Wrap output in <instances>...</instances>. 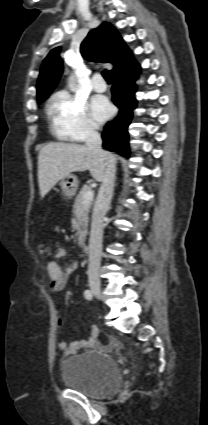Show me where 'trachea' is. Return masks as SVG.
<instances>
[{
    "label": "trachea",
    "mask_w": 208,
    "mask_h": 425,
    "mask_svg": "<svg viewBox=\"0 0 208 425\" xmlns=\"http://www.w3.org/2000/svg\"><path fill=\"white\" fill-rule=\"evenodd\" d=\"M102 76L104 77V79H105L107 82H110V81H111L110 75H109V73H108V71H107V70H103V71H102Z\"/></svg>",
    "instance_id": "3493384b"
}]
</instances>
